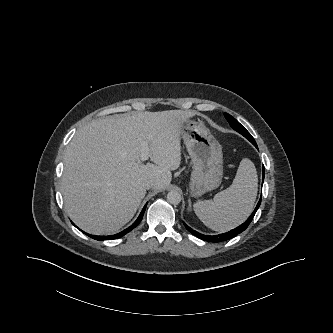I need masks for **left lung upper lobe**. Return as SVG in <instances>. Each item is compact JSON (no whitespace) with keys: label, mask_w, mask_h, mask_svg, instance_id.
Returning <instances> with one entry per match:
<instances>
[{"label":"left lung upper lobe","mask_w":333,"mask_h":333,"mask_svg":"<svg viewBox=\"0 0 333 333\" xmlns=\"http://www.w3.org/2000/svg\"><path fill=\"white\" fill-rule=\"evenodd\" d=\"M226 120L229 122L230 126L242 134L245 138H247L252 144L256 143L254 138L251 136V134L231 115L228 113L224 114Z\"/></svg>","instance_id":"obj_1"}]
</instances>
